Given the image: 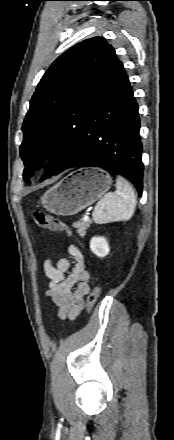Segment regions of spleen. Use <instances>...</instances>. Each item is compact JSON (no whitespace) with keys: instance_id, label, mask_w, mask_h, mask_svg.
Wrapping results in <instances>:
<instances>
[{"instance_id":"3e777b00","label":"spleen","mask_w":174,"mask_h":440,"mask_svg":"<svg viewBox=\"0 0 174 440\" xmlns=\"http://www.w3.org/2000/svg\"><path fill=\"white\" fill-rule=\"evenodd\" d=\"M116 193H107L100 199L93 211L97 224L128 221L134 213L136 197L129 182L121 176L116 180Z\"/></svg>"}]
</instances>
